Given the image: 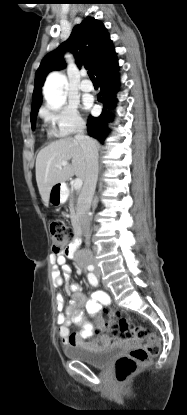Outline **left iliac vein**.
Segmentation results:
<instances>
[{
    "instance_id": "4c4485c4",
    "label": "left iliac vein",
    "mask_w": 187,
    "mask_h": 415,
    "mask_svg": "<svg viewBox=\"0 0 187 415\" xmlns=\"http://www.w3.org/2000/svg\"><path fill=\"white\" fill-rule=\"evenodd\" d=\"M94 274H95V276H96L97 278H100V275H101L100 269H99V268H95V270H94Z\"/></svg>"
}]
</instances>
